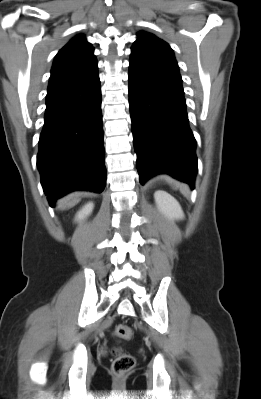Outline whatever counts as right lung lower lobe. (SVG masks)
Instances as JSON below:
<instances>
[{
  "instance_id": "obj_1",
  "label": "right lung lower lobe",
  "mask_w": 261,
  "mask_h": 399,
  "mask_svg": "<svg viewBox=\"0 0 261 399\" xmlns=\"http://www.w3.org/2000/svg\"><path fill=\"white\" fill-rule=\"evenodd\" d=\"M37 167L50 206L66 193H101L106 185L98 72L84 81L48 91Z\"/></svg>"
}]
</instances>
